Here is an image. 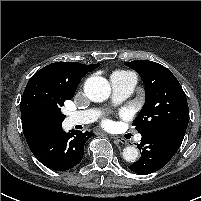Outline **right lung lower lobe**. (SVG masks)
Listing matches in <instances>:
<instances>
[{"label": "right lung lower lobe", "instance_id": "obj_1", "mask_svg": "<svg viewBox=\"0 0 201 201\" xmlns=\"http://www.w3.org/2000/svg\"><path fill=\"white\" fill-rule=\"evenodd\" d=\"M92 135L91 132L72 130L66 133L58 129L28 143V146L43 165L55 171H65L82 160L85 142Z\"/></svg>", "mask_w": 201, "mask_h": 201}]
</instances>
